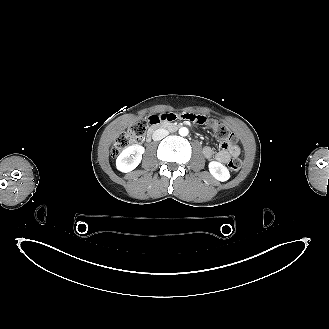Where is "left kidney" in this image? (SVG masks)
Returning <instances> with one entry per match:
<instances>
[{
	"label": "left kidney",
	"mask_w": 329,
	"mask_h": 329,
	"mask_svg": "<svg viewBox=\"0 0 329 329\" xmlns=\"http://www.w3.org/2000/svg\"><path fill=\"white\" fill-rule=\"evenodd\" d=\"M209 171L211 175L218 181L224 182L230 178L228 169L217 161H212L209 163Z\"/></svg>",
	"instance_id": "obj_1"
}]
</instances>
